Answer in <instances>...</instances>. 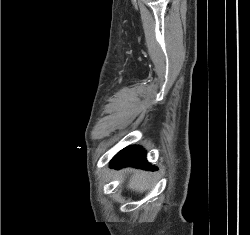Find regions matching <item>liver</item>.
Segmentation results:
<instances>
[{"label": "liver", "mask_w": 250, "mask_h": 235, "mask_svg": "<svg viewBox=\"0 0 250 235\" xmlns=\"http://www.w3.org/2000/svg\"><path fill=\"white\" fill-rule=\"evenodd\" d=\"M151 175L143 171H135L134 175L129 181L128 188L143 193L149 187Z\"/></svg>", "instance_id": "1"}]
</instances>
